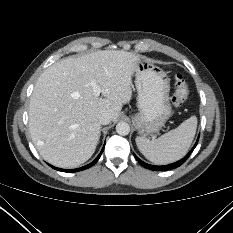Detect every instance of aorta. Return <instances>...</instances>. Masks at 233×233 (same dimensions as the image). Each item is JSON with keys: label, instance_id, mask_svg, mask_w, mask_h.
Listing matches in <instances>:
<instances>
[{"label": "aorta", "instance_id": "aorta-1", "mask_svg": "<svg viewBox=\"0 0 233 233\" xmlns=\"http://www.w3.org/2000/svg\"><path fill=\"white\" fill-rule=\"evenodd\" d=\"M116 132L119 135H122V136L128 135L129 132H130V126H129V124L126 123V122H119L116 125Z\"/></svg>", "mask_w": 233, "mask_h": 233}]
</instances>
